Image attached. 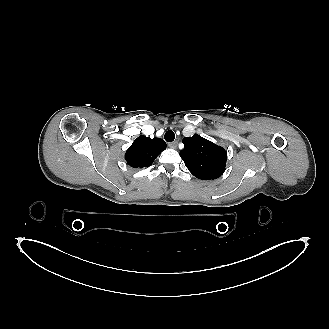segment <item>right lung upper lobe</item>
I'll list each match as a JSON object with an SVG mask.
<instances>
[{"mask_svg":"<svg viewBox=\"0 0 329 329\" xmlns=\"http://www.w3.org/2000/svg\"><path fill=\"white\" fill-rule=\"evenodd\" d=\"M166 148V143L160 138L139 136L129 147L125 160L133 168H143L151 165L155 158Z\"/></svg>","mask_w":329,"mask_h":329,"instance_id":"right-lung-upper-lobe-1","label":"right lung upper lobe"}]
</instances>
